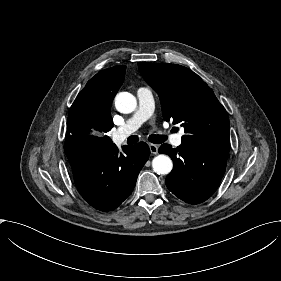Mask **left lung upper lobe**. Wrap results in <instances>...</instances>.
Listing matches in <instances>:
<instances>
[{
	"instance_id": "5c2ea615",
	"label": "left lung upper lobe",
	"mask_w": 281,
	"mask_h": 281,
	"mask_svg": "<svg viewBox=\"0 0 281 281\" xmlns=\"http://www.w3.org/2000/svg\"><path fill=\"white\" fill-rule=\"evenodd\" d=\"M138 67L160 97L164 120L184 127L182 144L230 145L227 113L197 74L168 63L138 62Z\"/></svg>"
}]
</instances>
